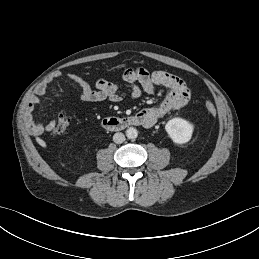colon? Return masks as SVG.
<instances>
[{"mask_svg":"<svg viewBox=\"0 0 259 259\" xmlns=\"http://www.w3.org/2000/svg\"><path fill=\"white\" fill-rule=\"evenodd\" d=\"M205 109L208 114L214 116L216 115V108L213 103L206 102ZM71 126V118L68 114H61L58 118V121L52 131L53 135H62L65 134Z\"/></svg>","mask_w":259,"mask_h":259,"instance_id":"1","label":"colon"}]
</instances>
